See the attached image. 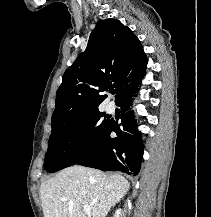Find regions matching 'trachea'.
Here are the masks:
<instances>
[{"mask_svg":"<svg viewBox=\"0 0 211 217\" xmlns=\"http://www.w3.org/2000/svg\"><path fill=\"white\" fill-rule=\"evenodd\" d=\"M111 93H112V94H114L115 92H114V91H112Z\"/></svg>","mask_w":211,"mask_h":217,"instance_id":"trachea-1","label":"trachea"}]
</instances>
